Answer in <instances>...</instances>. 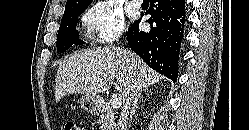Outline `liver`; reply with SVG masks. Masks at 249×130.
I'll use <instances>...</instances> for the list:
<instances>
[{
    "label": "liver",
    "mask_w": 249,
    "mask_h": 130,
    "mask_svg": "<svg viewBox=\"0 0 249 130\" xmlns=\"http://www.w3.org/2000/svg\"><path fill=\"white\" fill-rule=\"evenodd\" d=\"M114 79L123 104L132 85L136 84L142 90L165 78L129 50L95 48L66 56L59 64L55 100L59 102L67 94L96 96L108 91Z\"/></svg>",
    "instance_id": "obj_1"
}]
</instances>
